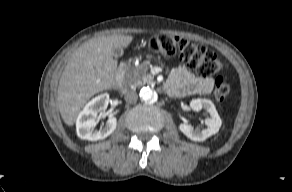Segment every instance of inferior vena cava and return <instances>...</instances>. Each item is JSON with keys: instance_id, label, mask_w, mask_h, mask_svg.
I'll use <instances>...</instances> for the list:
<instances>
[{"instance_id": "602c4592", "label": "inferior vena cava", "mask_w": 292, "mask_h": 192, "mask_svg": "<svg viewBox=\"0 0 292 192\" xmlns=\"http://www.w3.org/2000/svg\"><path fill=\"white\" fill-rule=\"evenodd\" d=\"M124 98L128 103H135L138 99V95L134 90H127L125 92Z\"/></svg>"}]
</instances>
